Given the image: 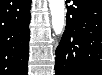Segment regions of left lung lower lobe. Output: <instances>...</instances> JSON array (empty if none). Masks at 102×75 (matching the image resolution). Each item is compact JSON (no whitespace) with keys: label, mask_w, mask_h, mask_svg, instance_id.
I'll list each match as a JSON object with an SVG mask.
<instances>
[{"label":"left lung lower lobe","mask_w":102,"mask_h":75,"mask_svg":"<svg viewBox=\"0 0 102 75\" xmlns=\"http://www.w3.org/2000/svg\"><path fill=\"white\" fill-rule=\"evenodd\" d=\"M55 75H102V0H67Z\"/></svg>","instance_id":"obj_1"}]
</instances>
